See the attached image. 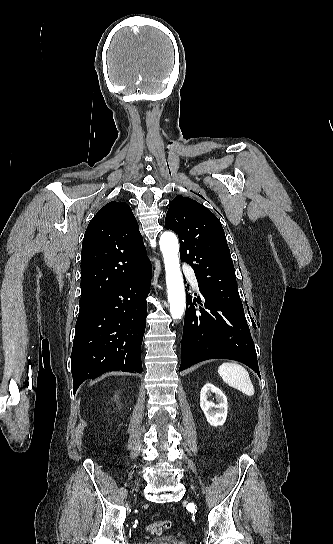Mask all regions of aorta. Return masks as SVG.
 <instances>
[{
    "label": "aorta",
    "instance_id": "aorta-1",
    "mask_svg": "<svg viewBox=\"0 0 333 544\" xmlns=\"http://www.w3.org/2000/svg\"><path fill=\"white\" fill-rule=\"evenodd\" d=\"M159 244L165 264L170 313L173 319H181L185 310L186 297L179 265L178 240L173 233L165 232L161 235Z\"/></svg>",
    "mask_w": 333,
    "mask_h": 544
}]
</instances>
